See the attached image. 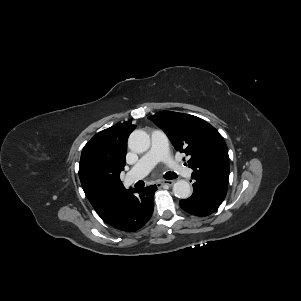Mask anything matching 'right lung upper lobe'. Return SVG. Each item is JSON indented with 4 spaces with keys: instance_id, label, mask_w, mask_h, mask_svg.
<instances>
[{
    "instance_id": "1",
    "label": "right lung upper lobe",
    "mask_w": 301,
    "mask_h": 301,
    "mask_svg": "<svg viewBox=\"0 0 301 301\" xmlns=\"http://www.w3.org/2000/svg\"><path fill=\"white\" fill-rule=\"evenodd\" d=\"M135 127L131 121L116 124L98 132L82 150L79 164L81 185L103 221L112 214L126 191L120 180V172L126 163L127 139ZM98 172L108 174L118 180L112 191L98 193L90 188L89 177Z\"/></svg>"
}]
</instances>
